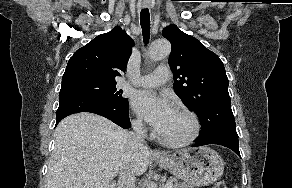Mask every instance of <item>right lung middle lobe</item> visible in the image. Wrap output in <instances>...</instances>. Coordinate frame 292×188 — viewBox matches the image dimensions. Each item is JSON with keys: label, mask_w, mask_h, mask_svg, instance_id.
<instances>
[{"label": "right lung middle lobe", "mask_w": 292, "mask_h": 188, "mask_svg": "<svg viewBox=\"0 0 292 188\" xmlns=\"http://www.w3.org/2000/svg\"><path fill=\"white\" fill-rule=\"evenodd\" d=\"M115 81H108L89 77H78L62 80L59 95L78 93L89 96L107 106L121 107L128 103L122 97V91L116 89Z\"/></svg>", "instance_id": "obj_1"}]
</instances>
